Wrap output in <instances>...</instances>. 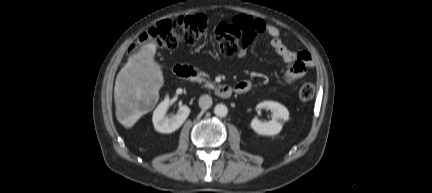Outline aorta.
I'll list each match as a JSON object with an SVG mask.
<instances>
[{
  "instance_id": "obj_1",
  "label": "aorta",
  "mask_w": 432,
  "mask_h": 193,
  "mask_svg": "<svg viewBox=\"0 0 432 193\" xmlns=\"http://www.w3.org/2000/svg\"><path fill=\"white\" fill-rule=\"evenodd\" d=\"M214 113L216 116L225 117L228 114V108L224 104H217L214 108Z\"/></svg>"
}]
</instances>
